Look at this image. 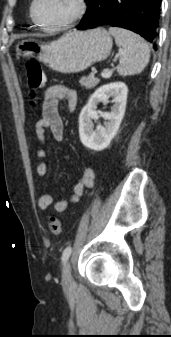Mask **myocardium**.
<instances>
[{
	"instance_id": "f54148a6",
	"label": "myocardium",
	"mask_w": 171,
	"mask_h": 337,
	"mask_svg": "<svg viewBox=\"0 0 171 337\" xmlns=\"http://www.w3.org/2000/svg\"><path fill=\"white\" fill-rule=\"evenodd\" d=\"M75 2H76V10L70 18H68L66 21L60 24L47 25L41 22L36 15V5L38 3V0H32L31 6H30L31 19L37 26L47 31L56 32V31L67 29L71 27L74 23L79 21L85 15L87 11L86 0H75Z\"/></svg>"
}]
</instances>
